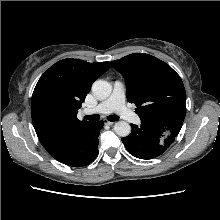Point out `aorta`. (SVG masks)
<instances>
[{"mask_svg": "<svg viewBox=\"0 0 220 220\" xmlns=\"http://www.w3.org/2000/svg\"><path fill=\"white\" fill-rule=\"evenodd\" d=\"M92 92L99 99H106L112 92V86L105 80H96L92 85ZM114 132L120 137H126L131 132V126L125 121H119L114 125Z\"/></svg>", "mask_w": 220, "mask_h": 220, "instance_id": "aorta-1", "label": "aorta"}]
</instances>
